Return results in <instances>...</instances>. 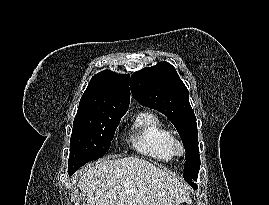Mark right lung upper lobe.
Masks as SVG:
<instances>
[{"label":"right lung upper lobe","instance_id":"1","mask_svg":"<svg viewBox=\"0 0 269 205\" xmlns=\"http://www.w3.org/2000/svg\"><path fill=\"white\" fill-rule=\"evenodd\" d=\"M130 76L105 70L94 75L78 107L79 115H124L129 107Z\"/></svg>","mask_w":269,"mask_h":205}]
</instances>
